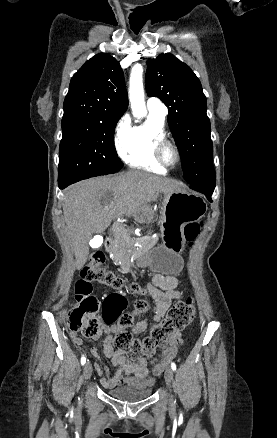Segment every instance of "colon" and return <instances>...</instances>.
I'll use <instances>...</instances> for the list:
<instances>
[{
	"instance_id": "colon-1",
	"label": "colon",
	"mask_w": 277,
	"mask_h": 438,
	"mask_svg": "<svg viewBox=\"0 0 277 438\" xmlns=\"http://www.w3.org/2000/svg\"><path fill=\"white\" fill-rule=\"evenodd\" d=\"M201 230V224L197 222L189 223L184 227L186 239L193 240L198 236ZM105 254L102 249H96L89 257L88 264L81 272V280L76 289V296L80 306L73 307L69 314L68 320L73 332H81L84 336L95 337L105 333V322L102 319L103 314L100 312V305L96 296H90L91 289L89 283H97L113 289L120 290L125 287L124 280L116 273L107 269L104 265ZM132 293L143 296L142 288L133 283L130 286ZM103 306V304H102ZM151 309V305L145 299H138L134 304V309L122 314H118L120 327L127 328L134 322V313H145ZM195 306L191 299H184L177 302L171 307L165 318L152 325L148 333L144 336H133L127 330L117 331L113 335V342L117 349L125 352L131 359L136 360L141 357L147 359L153 358L160 361V356H155L156 350H163L168 345V340L176 336L177 342L181 338L177 337L176 332L183 330L193 320ZM104 318V317H103Z\"/></svg>"
}]
</instances>
